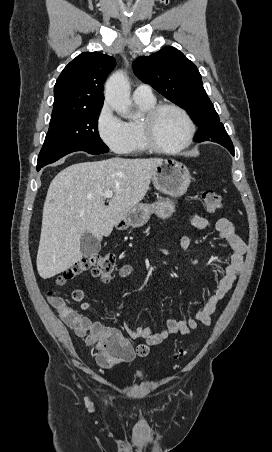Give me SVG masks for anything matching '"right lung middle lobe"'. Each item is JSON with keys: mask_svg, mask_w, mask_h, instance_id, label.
<instances>
[{"mask_svg": "<svg viewBox=\"0 0 272 452\" xmlns=\"http://www.w3.org/2000/svg\"><path fill=\"white\" fill-rule=\"evenodd\" d=\"M101 108L52 115L38 162L62 157L74 151L90 154L108 152L97 131Z\"/></svg>", "mask_w": 272, "mask_h": 452, "instance_id": "right-lung-middle-lobe-1", "label": "right lung middle lobe"}]
</instances>
